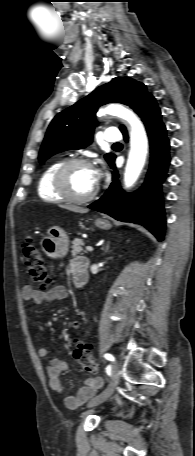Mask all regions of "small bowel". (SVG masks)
Segmentation results:
<instances>
[{"mask_svg":"<svg viewBox=\"0 0 195 456\" xmlns=\"http://www.w3.org/2000/svg\"><path fill=\"white\" fill-rule=\"evenodd\" d=\"M82 258H77L72 261L71 266L67 270L68 274L74 273V269L77 263ZM68 295L66 287L62 285H56L49 289L48 291H43L41 289H36L31 286H25L22 290V296L26 301H31L35 304H42L44 302L51 301H61L64 300ZM38 355L40 357H46L48 355V350L46 347H41L38 350ZM68 369V364L59 358H53L50 360L46 373L49 379V386L51 390L63 396L64 395V386L60 379L61 373ZM103 384L102 379L100 378H87L84 380V385L78 390L75 395L68 396L65 398V405L74 409L82 405L88 398L94 395L97 389H99Z\"/></svg>","mask_w":195,"mask_h":456,"instance_id":"c3829d8e","label":"small bowel"}]
</instances>
